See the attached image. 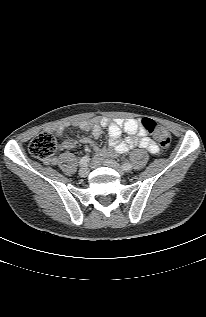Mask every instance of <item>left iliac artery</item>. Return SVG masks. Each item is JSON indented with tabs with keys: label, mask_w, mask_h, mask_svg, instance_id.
<instances>
[{
	"label": "left iliac artery",
	"mask_w": 206,
	"mask_h": 317,
	"mask_svg": "<svg viewBox=\"0 0 206 317\" xmlns=\"http://www.w3.org/2000/svg\"><path fill=\"white\" fill-rule=\"evenodd\" d=\"M122 168L124 169V170H126V171H129V170H131L132 169V165L130 164V163H123L122 164Z\"/></svg>",
	"instance_id": "left-iliac-artery-1"
}]
</instances>
